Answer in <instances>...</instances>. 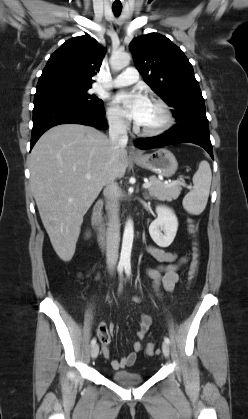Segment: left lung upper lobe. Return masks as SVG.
I'll return each mask as SVG.
<instances>
[{"label": "left lung upper lobe", "instance_id": "5c2ea615", "mask_svg": "<svg viewBox=\"0 0 248 419\" xmlns=\"http://www.w3.org/2000/svg\"><path fill=\"white\" fill-rule=\"evenodd\" d=\"M129 48L144 81L174 108L176 119L194 110L205 111L192 65L166 36L149 33L133 39Z\"/></svg>", "mask_w": 248, "mask_h": 419}]
</instances>
